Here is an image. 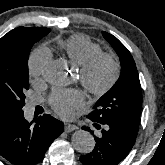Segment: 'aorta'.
Returning <instances> with one entry per match:
<instances>
[{
	"mask_svg": "<svg viewBox=\"0 0 165 165\" xmlns=\"http://www.w3.org/2000/svg\"><path fill=\"white\" fill-rule=\"evenodd\" d=\"M49 82L55 85H63L67 82L66 65L62 61H53L44 71ZM72 145L80 153L87 154L95 146L93 136L85 130H77L72 134Z\"/></svg>",
	"mask_w": 165,
	"mask_h": 165,
	"instance_id": "aorta-1",
	"label": "aorta"
}]
</instances>
